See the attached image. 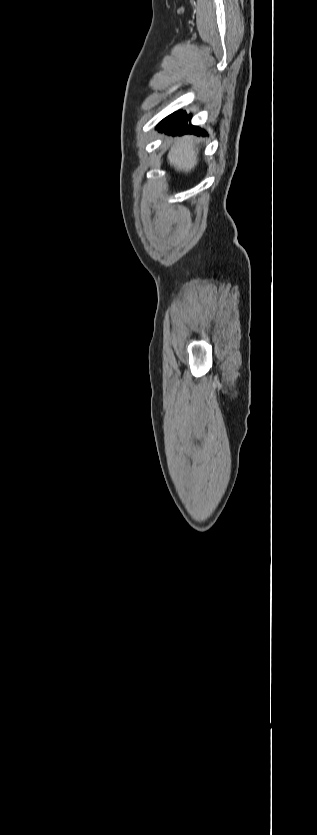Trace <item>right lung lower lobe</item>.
Segmentation results:
<instances>
[{"label": "right lung lower lobe", "instance_id": "1", "mask_svg": "<svg viewBox=\"0 0 317 835\" xmlns=\"http://www.w3.org/2000/svg\"><path fill=\"white\" fill-rule=\"evenodd\" d=\"M191 117L187 116L186 112L178 111L163 119L157 126L159 131H165L172 135H183L186 133H193L196 135H206L204 130L199 127L191 125Z\"/></svg>", "mask_w": 317, "mask_h": 835}]
</instances>
